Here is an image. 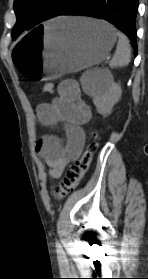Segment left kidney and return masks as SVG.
Segmentation results:
<instances>
[{"label": "left kidney", "instance_id": "5707ae66", "mask_svg": "<svg viewBox=\"0 0 148 279\" xmlns=\"http://www.w3.org/2000/svg\"><path fill=\"white\" fill-rule=\"evenodd\" d=\"M101 79L102 91L93 96V103L99 114L108 115L119 101L122 90L120 84L115 83L109 73H104Z\"/></svg>", "mask_w": 148, "mask_h": 279}]
</instances>
